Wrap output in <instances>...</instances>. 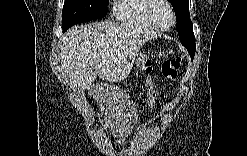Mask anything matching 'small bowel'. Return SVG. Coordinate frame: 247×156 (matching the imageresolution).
Returning <instances> with one entry per match:
<instances>
[{
  "label": "small bowel",
  "instance_id": "1",
  "mask_svg": "<svg viewBox=\"0 0 247 156\" xmlns=\"http://www.w3.org/2000/svg\"><path fill=\"white\" fill-rule=\"evenodd\" d=\"M143 69L147 75L148 96H149L148 101H149V104L152 106L155 102V91L153 89V85L151 82L152 65L150 63H145L143 65Z\"/></svg>",
  "mask_w": 247,
  "mask_h": 156
}]
</instances>
